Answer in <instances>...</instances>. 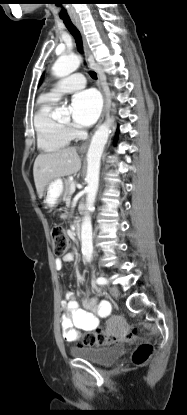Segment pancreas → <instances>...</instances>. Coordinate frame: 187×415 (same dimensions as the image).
Wrapping results in <instances>:
<instances>
[{
  "mask_svg": "<svg viewBox=\"0 0 187 415\" xmlns=\"http://www.w3.org/2000/svg\"><path fill=\"white\" fill-rule=\"evenodd\" d=\"M73 183V180L70 178L65 179L64 184H65V190H64V195H63V201H68L71 197V184Z\"/></svg>",
  "mask_w": 187,
  "mask_h": 415,
  "instance_id": "1",
  "label": "pancreas"
}]
</instances>
